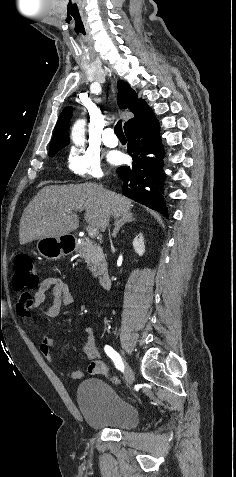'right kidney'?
<instances>
[{"mask_svg": "<svg viewBox=\"0 0 236 477\" xmlns=\"http://www.w3.org/2000/svg\"><path fill=\"white\" fill-rule=\"evenodd\" d=\"M133 247L139 256H142L145 252L144 238L142 234H139L133 240Z\"/></svg>", "mask_w": 236, "mask_h": 477, "instance_id": "ca27d5eb", "label": "right kidney"}]
</instances>
